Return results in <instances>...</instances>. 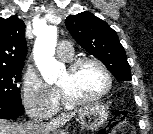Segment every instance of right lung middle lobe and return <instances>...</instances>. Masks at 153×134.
Here are the masks:
<instances>
[{
	"label": "right lung middle lobe",
	"instance_id": "obj_1",
	"mask_svg": "<svg viewBox=\"0 0 153 134\" xmlns=\"http://www.w3.org/2000/svg\"><path fill=\"white\" fill-rule=\"evenodd\" d=\"M22 67H0V100L22 103L17 83L21 80Z\"/></svg>",
	"mask_w": 153,
	"mask_h": 134
}]
</instances>
